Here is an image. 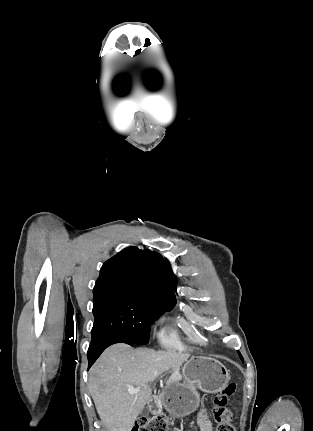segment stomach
<instances>
[{
	"label": "stomach",
	"instance_id": "obj_1",
	"mask_svg": "<svg viewBox=\"0 0 313 431\" xmlns=\"http://www.w3.org/2000/svg\"><path fill=\"white\" fill-rule=\"evenodd\" d=\"M183 383L177 379H169L163 389L157 405L163 404L174 417L186 416L194 412L199 405L197 389L206 393L222 391L229 383L230 374L218 360L193 356L182 368Z\"/></svg>",
	"mask_w": 313,
	"mask_h": 431
}]
</instances>
